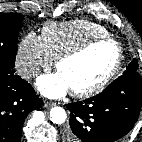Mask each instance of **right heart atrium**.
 <instances>
[{
	"instance_id": "1",
	"label": "right heart atrium",
	"mask_w": 142,
	"mask_h": 142,
	"mask_svg": "<svg viewBox=\"0 0 142 142\" xmlns=\"http://www.w3.org/2000/svg\"><path fill=\"white\" fill-rule=\"evenodd\" d=\"M53 58L46 50L40 36L30 32L19 42L15 57L18 74L30 80L41 70L52 66Z\"/></svg>"
}]
</instances>
